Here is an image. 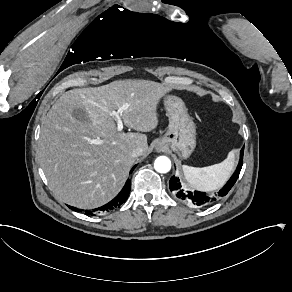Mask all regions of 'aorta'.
<instances>
[{"instance_id":"obj_1","label":"aorta","mask_w":292,"mask_h":292,"mask_svg":"<svg viewBox=\"0 0 292 292\" xmlns=\"http://www.w3.org/2000/svg\"><path fill=\"white\" fill-rule=\"evenodd\" d=\"M155 170L159 173H168L171 169V161L168 157L161 156L155 160Z\"/></svg>"}]
</instances>
